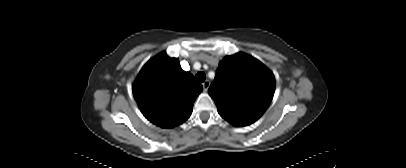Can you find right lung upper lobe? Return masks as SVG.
<instances>
[{
    "label": "right lung upper lobe",
    "instance_id": "obj_1",
    "mask_svg": "<svg viewBox=\"0 0 406 168\" xmlns=\"http://www.w3.org/2000/svg\"><path fill=\"white\" fill-rule=\"evenodd\" d=\"M133 94L143 115L162 128L185 122L193 103L203 90L190 72L182 70L177 58L161 53L149 60L133 84Z\"/></svg>",
    "mask_w": 406,
    "mask_h": 168
}]
</instances>
